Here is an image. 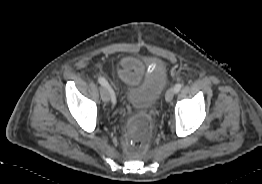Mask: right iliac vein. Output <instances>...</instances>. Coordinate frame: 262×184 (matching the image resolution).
Here are the masks:
<instances>
[{
  "label": "right iliac vein",
  "mask_w": 262,
  "mask_h": 184,
  "mask_svg": "<svg viewBox=\"0 0 262 184\" xmlns=\"http://www.w3.org/2000/svg\"><path fill=\"white\" fill-rule=\"evenodd\" d=\"M101 98L104 102H108L111 98V90L110 88H102L101 89Z\"/></svg>",
  "instance_id": "63e3f726"
}]
</instances>
